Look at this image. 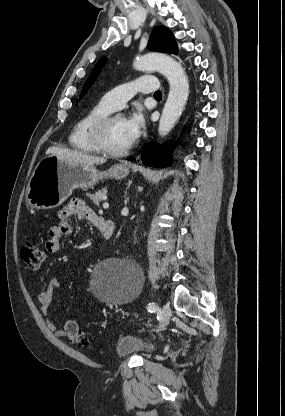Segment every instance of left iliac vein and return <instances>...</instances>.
I'll list each match as a JSON object with an SVG mask.
<instances>
[{"mask_svg":"<svg viewBox=\"0 0 285 416\" xmlns=\"http://www.w3.org/2000/svg\"><path fill=\"white\" fill-rule=\"evenodd\" d=\"M171 316L170 307L167 304L162 306V320L160 323V329H162L166 324L169 323V319Z\"/></svg>","mask_w":285,"mask_h":416,"instance_id":"4c4485c4","label":"left iliac vein"}]
</instances>
